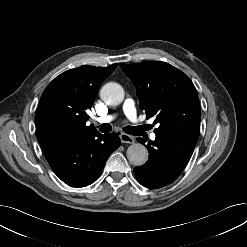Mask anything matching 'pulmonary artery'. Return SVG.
I'll list each match as a JSON object with an SVG mask.
<instances>
[{
	"instance_id": "1",
	"label": "pulmonary artery",
	"mask_w": 247,
	"mask_h": 247,
	"mask_svg": "<svg viewBox=\"0 0 247 247\" xmlns=\"http://www.w3.org/2000/svg\"><path fill=\"white\" fill-rule=\"evenodd\" d=\"M123 111L125 113V115L128 117V119L130 121H135L137 118V111H136V107H135V103L132 99H127L124 104H123ZM113 116L111 115H106V116H102L97 118V122L99 123H109L113 120ZM156 138V134L155 133H151L150 134V139L151 140H155Z\"/></svg>"
}]
</instances>
